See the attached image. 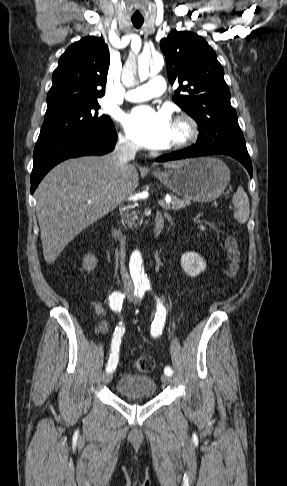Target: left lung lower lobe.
Masks as SVG:
<instances>
[{"instance_id":"1","label":"left lung lower lobe","mask_w":287,"mask_h":486,"mask_svg":"<svg viewBox=\"0 0 287 486\" xmlns=\"http://www.w3.org/2000/svg\"><path fill=\"white\" fill-rule=\"evenodd\" d=\"M212 154H225L237 159L245 166L250 176L252 177V164H251L250 156L247 151H239V150H231V149H223V148H204V147L193 146L190 148L173 152L165 156H161L156 160L158 162H164L169 160L200 157V156H206Z\"/></svg>"}]
</instances>
